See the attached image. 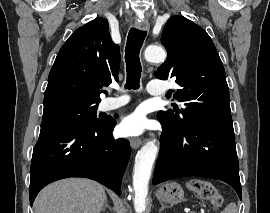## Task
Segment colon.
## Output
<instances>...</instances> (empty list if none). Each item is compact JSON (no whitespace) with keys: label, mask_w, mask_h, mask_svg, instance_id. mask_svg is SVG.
<instances>
[{"label":"colon","mask_w":270,"mask_h":213,"mask_svg":"<svg viewBox=\"0 0 270 213\" xmlns=\"http://www.w3.org/2000/svg\"><path fill=\"white\" fill-rule=\"evenodd\" d=\"M190 188L198 197L209 201L215 209L221 206L222 196L210 181L194 180L191 182Z\"/></svg>","instance_id":"1"}]
</instances>
